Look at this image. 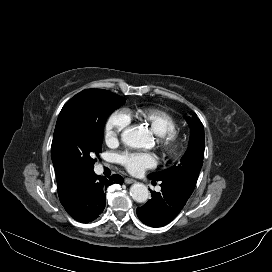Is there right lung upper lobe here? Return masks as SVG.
I'll return each instance as SVG.
<instances>
[{
  "instance_id": "1",
  "label": "right lung upper lobe",
  "mask_w": 272,
  "mask_h": 272,
  "mask_svg": "<svg viewBox=\"0 0 272 272\" xmlns=\"http://www.w3.org/2000/svg\"><path fill=\"white\" fill-rule=\"evenodd\" d=\"M52 161L57 178L59 199L62 205H64L70 200L76 189L88 175L75 176L70 166L64 160L54 155H52Z\"/></svg>"
}]
</instances>
